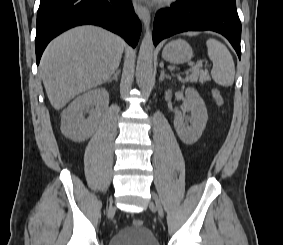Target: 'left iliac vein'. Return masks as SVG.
<instances>
[{"label":"left iliac vein","instance_id":"left-iliac-vein-1","mask_svg":"<svg viewBox=\"0 0 283 245\" xmlns=\"http://www.w3.org/2000/svg\"><path fill=\"white\" fill-rule=\"evenodd\" d=\"M152 197H153V200H154L155 208L157 209L159 215L163 216L164 215L163 207H162V204H161L159 197L154 192H152Z\"/></svg>","mask_w":283,"mask_h":245}]
</instances>
